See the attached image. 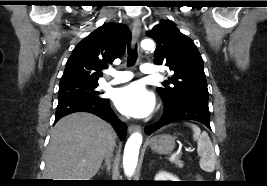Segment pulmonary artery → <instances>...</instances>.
Instances as JSON below:
<instances>
[{
	"label": "pulmonary artery",
	"mask_w": 267,
	"mask_h": 186,
	"mask_svg": "<svg viewBox=\"0 0 267 186\" xmlns=\"http://www.w3.org/2000/svg\"><path fill=\"white\" fill-rule=\"evenodd\" d=\"M143 74L147 76H155L157 74V67L153 64H144L140 67ZM133 74L129 71H120L113 73V79L110 81L111 84H119L131 80Z\"/></svg>",
	"instance_id": "1"
}]
</instances>
